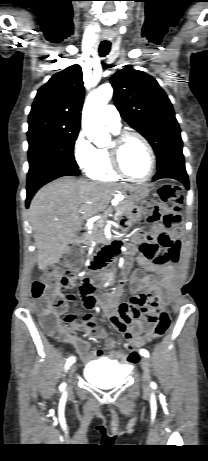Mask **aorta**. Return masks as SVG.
<instances>
[{"instance_id":"obj_1","label":"aorta","mask_w":208,"mask_h":461,"mask_svg":"<svg viewBox=\"0 0 208 461\" xmlns=\"http://www.w3.org/2000/svg\"><path fill=\"white\" fill-rule=\"evenodd\" d=\"M112 96V86L105 84L92 91L84 104L82 127L88 138L98 147H105L110 142L108 131L102 121V111Z\"/></svg>"}]
</instances>
